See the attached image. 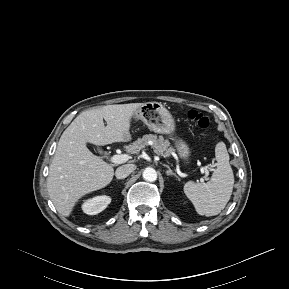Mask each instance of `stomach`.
Wrapping results in <instances>:
<instances>
[{"mask_svg":"<svg viewBox=\"0 0 289 289\" xmlns=\"http://www.w3.org/2000/svg\"><path fill=\"white\" fill-rule=\"evenodd\" d=\"M133 118L142 120L151 131L157 134L174 135L176 130L173 116L160 102L144 103L133 114ZM174 141L180 157L187 162L190 156L189 145L178 137H175Z\"/></svg>","mask_w":289,"mask_h":289,"instance_id":"obj_1","label":"stomach"}]
</instances>
